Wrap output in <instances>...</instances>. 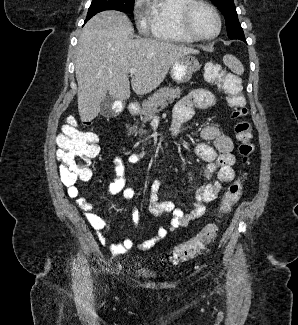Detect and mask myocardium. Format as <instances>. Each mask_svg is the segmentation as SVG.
I'll use <instances>...</instances> for the list:
<instances>
[{"mask_svg": "<svg viewBox=\"0 0 298 325\" xmlns=\"http://www.w3.org/2000/svg\"><path fill=\"white\" fill-rule=\"evenodd\" d=\"M197 7L205 8L212 15L216 23L215 33L207 40L199 38L189 25L190 16ZM176 28L183 35L200 44L211 43L219 36L221 31L220 20L217 13L209 4L202 1H188L179 7L176 19Z\"/></svg>", "mask_w": 298, "mask_h": 325, "instance_id": "obj_1", "label": "myocardium"}]
</instances>
